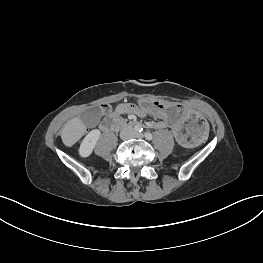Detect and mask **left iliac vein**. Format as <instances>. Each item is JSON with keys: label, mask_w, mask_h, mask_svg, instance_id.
<instances>
[{"label": "left iliac vein", "mask_w": 263, "mask_h": 263, "mask_svg": "<svg viewBox=\"0 0 263 263\" xmlns=\"http://www.w3.org/2000/svg\"><path fill=\"white\" fill-rule=\"evenodd\" d=\"M139 137H143V134H138Z\"/></svg>", "instance_id": "4c4485c4"}]
</instances>
